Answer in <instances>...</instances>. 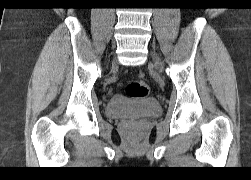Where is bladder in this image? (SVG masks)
Returning a JSON list of instances; mask_svg holds the SVG:
<instances>
[{
    "label": "bladder",
    "mask_w": 251,
    "mask_h": 180,
    "mask_svg": "<svg viewBox=\"0 0 251 180\" xmlns=\"http://www.w3.org/2000/svg\"><path fill=\"white\" fill-rule=\"evenodd\" d=\"M161 105L155 98L131 99L117 94L110 98L105 107V114L109 118H147L160 113Z\"/></svg>",
    "instance_id": "bladder-1"
}]
</instances>
